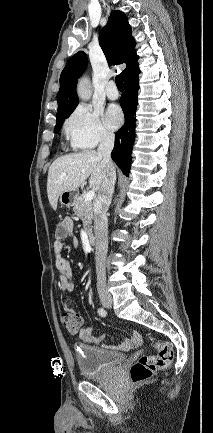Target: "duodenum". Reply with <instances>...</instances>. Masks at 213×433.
<instances>
[{"label": "duodenum", "mask_w": 213, "mask_h": 433, "mask_svg": "<svg viewBox=\"0 0 213 433\" xmlns=\"http://www.w3.org/2000/svg\"><path fill=\"white\" fill-rule=\"evenodd\" d=\"M88 241L92 246H95L97 244V238L93 233H90L88 235Z\"/></svg>", "instance_id": "duodenum-1"}]
</instances>
